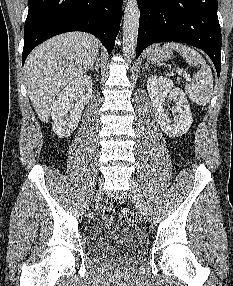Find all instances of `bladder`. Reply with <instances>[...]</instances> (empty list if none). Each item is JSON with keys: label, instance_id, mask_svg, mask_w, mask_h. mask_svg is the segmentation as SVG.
Listing matches in <instances>:
<instances>
[{"label": "bladder", "instance_id": "obj_1", "mask_svg": "<svg viewBox=\"0 0 233 286\" xmlns=\"http://www.w3.org/2000/svg\"><path fill=\"white\" fill-rule=\"evenodd\" d=\"M89 251L94 258L121 255L141 259L147 251L145 235L136 227L116 218L99 220L91 232Z\"/></svg>", "mask_w": 233, "mask_h": 286}]
</instances>
